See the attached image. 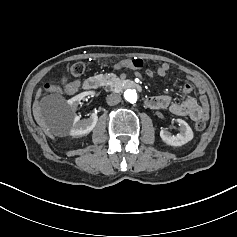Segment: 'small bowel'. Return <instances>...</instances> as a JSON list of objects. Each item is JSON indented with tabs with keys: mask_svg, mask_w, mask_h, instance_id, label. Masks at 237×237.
<instances>
[{
	"mask_svg": "<svg viewBox=\"0 0 237 237\" xmlns=\"http://www.w3.org/2000/svg\"><path fill=\"white\" fill-rule=\"evenodd\" d=\"M117 67L132 68L131 60H124L120 62ZM170 69L168 63H163L157 68V74L159 76H165ZM187 78L191 80L184 84L182 91L186 98L182 102H176L171 96L168 95H158L152 96L146 99L145 104L151 109H168L172 114L178 116H188L193 121L205 120L209 115V104L205 94V91L199 87V103L191 96L196 83L191 75ZM79 83L77 81L63 84L54 89L65 92L66 94H74L78 91Z\"/></svg>",
	"mask_w": 237,
	"mask_h": 237,
	"instance_id": "small-bowel-1",
	"label": "small bowel"
}]
</instances>
